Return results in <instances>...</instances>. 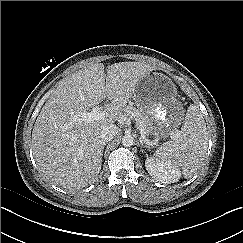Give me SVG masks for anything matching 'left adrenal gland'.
I'll return each instance as SVG.
<instances>
[{
  "label": "left adrenal gland",
  "instance_id": "obj_1",
  "mask_svg": "<svg viewBox=\"0 0 243 243\" xmlns=\"http://www.w3.org/2000/svg\"><path fill=\"white\" fill-rule=\"evenodd\" d=\"M140 145H141V147H143V148H147V149L150 148V147L147 146L142 140H140Z\"/></svg>",
  "mask_w": 243,
  "mask_h": 243
}]
</instances>
